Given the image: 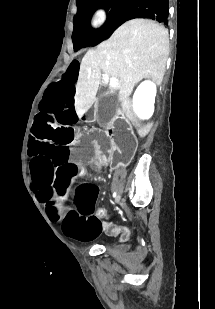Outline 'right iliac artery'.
Returning <instances> with one entry per match:
<instances>
[{"label": "right iliac artery", "instance_id": "obj_1", "mask_svg": "<svg viewBox=\"0 0 215 309\" xmlns=\"http://www.w3.org/2000/svg\"><path fill=\"white\" fill-rule=\"evenodd\" d=\"M113 197L116 198V192H113Z\"/></svg>", "mask_w": 215, "mask_h": 309}]
</instances>
